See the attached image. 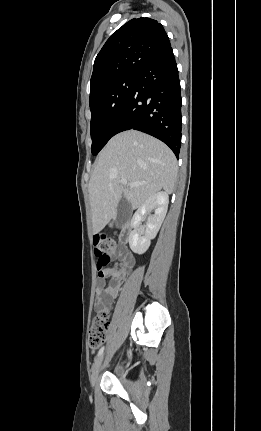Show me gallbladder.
I'll list each match as a JSON object with an SVG mask.
<instances>
[{"label": "gallbladder", "instance_id": "gallbladder-1", "mask_svg": "<svg viewBox=\"0 0 261 431\" xmlns=\"http://www.w3.org/2000/svg\"><path fill=\"white\" fill-rule=\"evenodd\" d=\"M131 215V208L126 199L122 198L116 213L115 225L117 228H121L129 220Z\"/></svg>", "mask_w": 261, "mask_h": 431}]
</instances>
